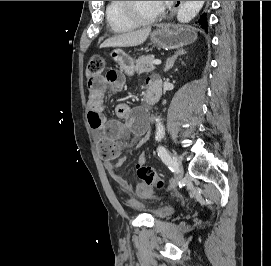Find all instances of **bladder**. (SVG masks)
Returning <instances> with one entry per match:
<instances>
[{"instance_id":"obj_1","label":"bladder","mask_w":271,"mask_h":266,"mask_svg":"<svg viewBox=\"0 0 271 266\" xmlns=\"http://www.w3.org/2000/svg\"><path fill=\"white\" fill-rule=\"evenodd\" d=\"M175 211V208L172 206H164V207H158L150 211V215L154 218H167L171 216Z\"/></svg>"}]
</instances>
